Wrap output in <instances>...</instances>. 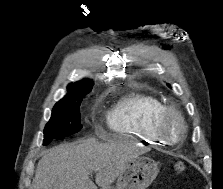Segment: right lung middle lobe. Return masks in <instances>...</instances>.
<instances>
[{
    "mask_svg": "<svg viewBox=\"0 0 223 189\" xmlns=\"http://www.w3.org/2000/svg\"><path fill=\"white\" fill-rule=\"evenodd\" d=\"M89 92L64 97L55 104L51 119L44 129L43 145L49 144L54 139L70 136L82 129L80 105L83 97Z\"/></svg>",
    "mask_w": 223,
    "mask_h": 189,
    "instance_id": "dd1d6c3e",
    "label": "right lung middle lobe"
}]
</instances>
